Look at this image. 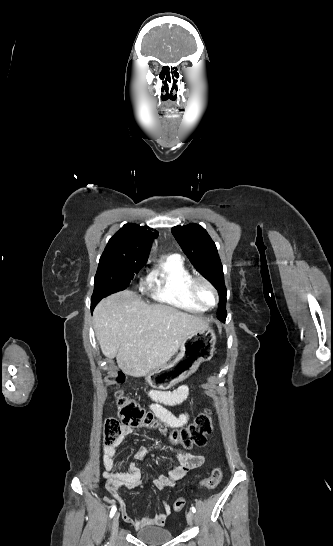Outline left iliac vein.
Masks as SVG:
<instances>
[{
  "label": "left iliac vein",
  "mask_w": 333,
  "mask_h": 546,
  "mask_svg": "<svg viewBox=\"0 0 333 546\" xmlns=\"http://www.w3.org/2000/svg\"><path fill=\"white\" fill-rule=\"evenodd\" d=\"M186 519H187V522L189 525H192L193 524V520H194V514L192 511H189L186 515Z\"/></svg>",
  "instance_id": "obj_1"
}]
</instances>
